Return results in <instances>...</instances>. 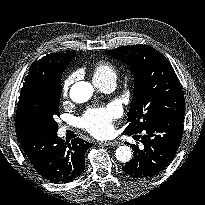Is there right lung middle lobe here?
<instances>
[{"mask_svg": "<svg viewBox=\"0 0 205 205\" xmlns=\"http://www.w3.org/2000/svg\"><path fill=\"white\" fill-rule=\"evenodd\" d=\"M64 69L52 78L24 84L16 112V130L56 133L60 116L61 77Z\"/></svg>", "mask_w": 205, "mask_h": 205, "instance_id": "obj_1", "label": "right lung middle lobe"}]
</instances>
